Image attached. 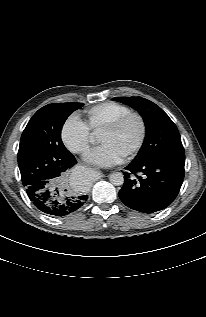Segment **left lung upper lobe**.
I'll list each match as a JSON object with an SVG mask.
<instances>
[{
    "mask_svg": "<svg viewBox=\"0 0 206 317\" xmlns=\"http://www.w3.org/2000/svg\"><path fill=\"white\" fill-rule=\"evenodd\" d=\"M113 100L137 110L145 122L146 136L132 162L160 160L184 165L185 152L179 131L159 106L141 97H115Z\"/></svg>",
    "mask_w": 206,
    "mask_h": 317,
    "instance_id": "obj_1",
    "label": "left lung upper lobe"
}]
</instances>
